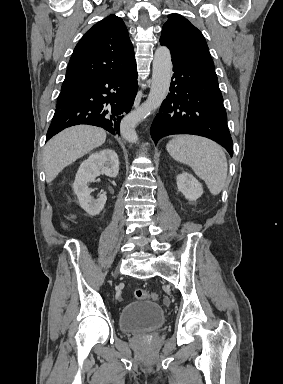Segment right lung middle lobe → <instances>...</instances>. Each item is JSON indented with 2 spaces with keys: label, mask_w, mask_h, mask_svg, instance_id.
Here are the masks:
<instances>
[{
  "label": "right lung middle lobe",
  "mask_w": 283,
  "mask_h": 384,
  "mask_svg": "<svg viewBox=\"0 0 283 384\" xmlns=\"http://www.w3.org/2000/svg\"><path fill=\"white\" fill-rule=\"evenodd\" d=\"M70 94V92H61L58 96V100L57 102H60L62 101L63 99H65L68 95Z\"/></svg>",
  "instance_id": "dd1d6c3e"
}]
</instances>
